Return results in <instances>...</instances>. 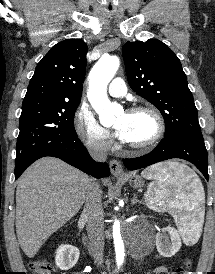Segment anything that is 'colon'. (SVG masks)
I'll use <instances>...</instances> for the list:
<instances>
[{
	"label": "colon",
	"mask_w": 215,
	"mask_h": 274,
	"mask_svg": "<svg viewBox=\"0 0 215 274\" xmlns=\"http://www.w3.org/2000/svg\"><path fill=\"white\" fill-rule=\"evenodd\" d=\"M191 263L189 260L185 261L183 266L176 269L173 274H188ZM32 269L38 274H52L55 270L52 263L48 260H40L32 264Z\"/></svg>",
	"instance_id": "1"
}]
</instances>
